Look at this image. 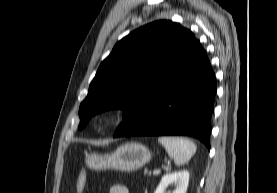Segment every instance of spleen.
<instances>
[{
    "instance_id": "obj_1",
    "label": "spleen",
    "mask_w": 277,
    "mask_h": 193,
    "mask_svg": "<svg viewBox=\"0 0 277 193\" xmlns=\"http://www.w3.org/2000/svg\"><path fill=\"white\" fill-rule=\"evenodd\" d=\"M158 142L165 147L177 166L188 162L196 152V145L184 137L162 136L158 138Z\"/></svg>"
}]
</instances>
